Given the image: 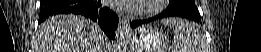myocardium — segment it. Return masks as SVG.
Wrapping results in <instances>:
<instances>
[{
  "mask_svg": "<svg viewBox=\"0 0 261 52\" xmlns=\"http://www.w3.org/2000/svg\"><path fill=\"white\" fill-rule=\"evenodd\" d=\"M164 2L165 0H151L132 11L140 16L156 14L163 9Z\"/></svg>",
  "mask_w": 261,
  "mask_h": 52,
  "instance_id": "f54148a6",
  "label": "myocardium"
}]
</instances>
